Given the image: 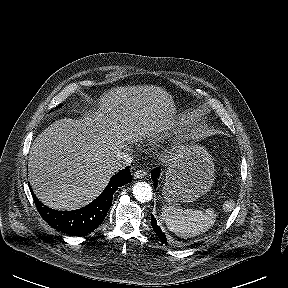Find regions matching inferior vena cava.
Here are the masks:
<instances>
[{
  "label": "inferior vena cava",
  "mask_w": 288,
  "mask_h": 288,
  "mask_svg": "<svg viewBox=\"0 0 288 288\" xmlns=\"http://www.w3.org/2000/svg\"><path fill=\"white\" fill-rule=\"evenodd\" d=\"M132 161L133 158L129 154L121 153L111 162L110 169L112 172L116 173L127 166H130Z\"/></svg>",
  "instance_id": "inferior-vena-cava-1"
}]
</instances>
